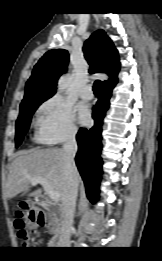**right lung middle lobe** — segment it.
Returning <instances> with one entry per match:
<instances>
[{
    "instance_id": "obj_1",
    "label": "right lung middle lobe",
    "mask_w": 162,
    "mask_h": 261,
    "mask_svg": "<svg viewBox=\"0 0 162 261\" xmlns=\"http://www.w3.org/2000/svg\"><path fill=\"white\" fill-rule=\"evenodd\" d=\"M51 96H39L23 100L20 105L19 117L16 121L15 147H18L28 131L31 117L38 106Z\"/></svg>"
}]
</instances>
